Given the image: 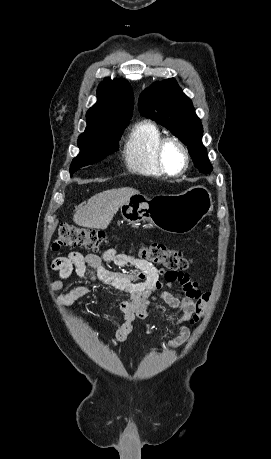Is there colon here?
<instances>
[{"label": "colon", "instance_id": "1", "mask_svg": "<svg viewBox=\"0 0 271 459\" xmlns=\"http://www.w3.org/2000/svg\"><path fill=\"white\" fill-rule=\"evenodd\" d=\"M108 240L106 233L99 229L84 228L73 224H62L53 243L54 249L61 247H82L94 251L99 250ZM142 259L163 266L171 272L185 270L190 259L184 252L167 247L162 243H149L139 249ZM209 294L202 293L196 302L191 323L198 322L205 314Z\"/></svg>", "mask_w": 271, "mask_h": 459}]
</instances>
